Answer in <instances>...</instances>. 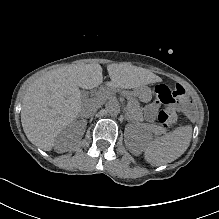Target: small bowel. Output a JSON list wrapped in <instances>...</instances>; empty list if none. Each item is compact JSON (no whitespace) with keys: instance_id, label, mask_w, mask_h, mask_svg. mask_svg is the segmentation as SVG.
Segmentation results:
<instances>
[{"instance_id":"small-bowel-1","label":"small bowel","mask_w":219,"mask_h":219,"mask_svg":"<svg viewBox=\"0 0 219 219\" xmlns=\"http://www.w3.org/2000/svg\"><path fill=\"white\" fill-rule=\"evenodd\" d=\"M155 92L156 100L145 108V116L149 121H153L155 119L156 114L162 104H172L175 109L181 110L189 117H193L195 115V106L193 103L187 98L175 104V101L172 97V92L166 85H158Z\"/></svg>"}]
</instances>
